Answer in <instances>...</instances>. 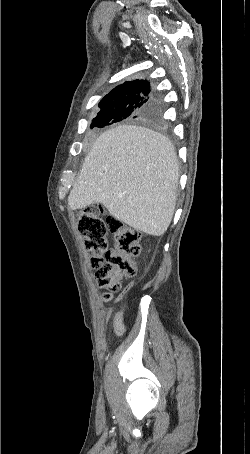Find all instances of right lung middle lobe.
<instances>
[{
	"label": "right lung middle lobe",
	"mask_w": 250,
	"mask_h": 454,
	"mask_svg": "<svg viewBox=\"0 0 250 454\" xmlns=\"http://www.w3.org/2000/svg\"><path fill=\"white\" fill-rule=\"evenodd\" d=\"M157 100L150 85L137 86L119 96L104 98L99 103L100 111L90 128H102L122 120L157 123L160 117L152 108Z\"/></svg>",
	"instance_id": "right-lung-middle-lobe-1"
}]
</instances>
